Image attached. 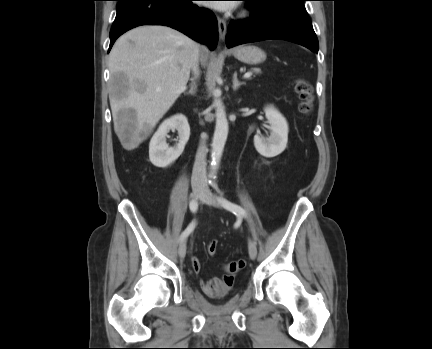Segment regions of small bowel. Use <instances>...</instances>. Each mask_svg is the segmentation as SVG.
<instances>
[{
    "mask_svg": "<svg viewBox=\"0 0 432 349\" xmlns=\"http://www.w3.org/2000/svg\"><path fill=\"white\" fill-rule=\"evenodd\" d=\"M191 261L194 271L199 274L201 271V265L199 260L193 257ZM233 281L234 276L225 274L222 277H214L211 280H203L201 281V286L207 294L213 295L228 290L231 287Z\"/></svg>",
    "mask_w": 432,
    "mask_h": 349,
    "instance_id": "small-bowel-1",
    "label": "small bowel"
}]
</instances>
